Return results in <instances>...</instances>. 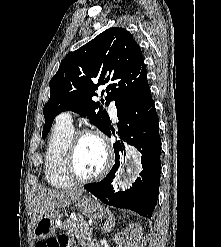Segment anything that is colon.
<instances>
[{
  "label": "colon",
  "instance_id": "colon-1",
  "mask_svg": "<svg viewBox=\"0 0 221 247\" xmlns=\"http://www.w3.org/2000/svg\"><path fill=\"white\" fill-rule=\"evenodd\" d=\"M67 243V238L64 235H60L49 238L44 243H39L38 247H65Z\"/></svg>",
  "mask_w": 221,
  "mask_h": 247
}]
</instances>
